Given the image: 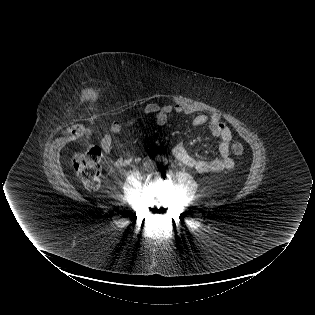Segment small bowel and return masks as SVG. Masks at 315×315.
<instances>
[{"instance_id":"small-bowel-1","label":"small bowel","mask_w":315,"mask_h":315,"mask_svg":"<svg viewBox=\"0 0 315 315\" xmlns=\"http://www.w3.org/2000/svg\"><path fill=\"white\" fill-rule=\"evenodd\" d=\"M194 111L192 108L184 104H169L160 106L155 103L147 104L143 110L144 115L151 116L154 119V122L162 126L164 125L170 114H183L190 115ZM139 117L131 120L129 123H133ZM128 125V123H126ZM208 125L211 134L220 139L218 145L219 158L211 160L197 159L192 156L184 145L178 144L173 150L172 154L176 160L195 169L199 173L207 172H219L226 169H231L234 166V161L230 156V142L232 139L231 132L227 126H225L220 119V116L217 113H212L210 115L199 114L196 115L192 120V128L194 130L200 129L202 126ZM124 127V124L120 121H113L110 124L109 131L103 136L101 140L102 150L106 155L112 153V139L113 136L118 135ZM132 162L130 156H120L118 157L114 165L117 168L125 167Z\"/></svg>"}]
</instances>
